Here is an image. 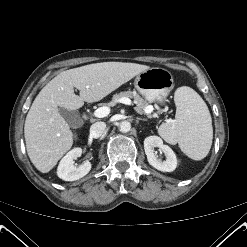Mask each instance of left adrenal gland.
<instances>
[{
  "label": "left adrenal gland",
  "mask_w": 247,
  "mask_h": 247,
  "mask_svg": "<svg viewBox=\"0 0 247 247\" xmlns=\"http://www.w3.org/2000/svg\"><path fill=\"white\" fill-rule=\"evenodd\" d=\"M139 120H143V121H147V119L146 118H137V122L139 121Z\"/></svg>",
  "instance_id": "1"
}]
</instances>
